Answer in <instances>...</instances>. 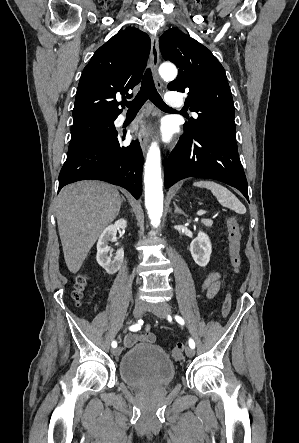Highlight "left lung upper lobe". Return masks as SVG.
Wrapping results in <instances>:
<instances>
[{
    "label": "left lung upper lobe",
    "instance_id": "obj_1",
    "mask_svg": "<svg viewBox=\"0 0 299 443\" xmlns=\"http://www.w3.org/2000/svg\"><path fill=\"white\" fill-rule=\"evenodd\" d=\"M165 60L177 65L179 74L168 84L172 91L189 90L185 101L198 118L184 124V134L218 133L236 140L235 108L223 66L209 49L177 29L159 39Z\"/></svg>",
    "mask_w": 299,
    "mask_h": 443
}]
</instances>
